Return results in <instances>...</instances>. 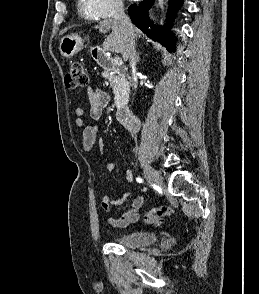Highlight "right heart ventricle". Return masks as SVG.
<instances>
[{"mask_svg":"<svg viewBox=\"0 0 259 294\" xmlns=\"http://www.w3.org/2000/svg\"><path fill=\"white\" fill-rule=\"evenodd\" d=\"M77 8L79 14L86 19L95 20L98 18L90 0H78Z\"/></svg>","mask_w":259,"mask_h":294,"instance_id":"e07e8e85","label":"right heart ventricle"}]
</instances>
